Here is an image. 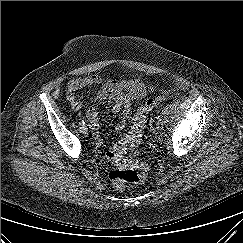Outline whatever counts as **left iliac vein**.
Here are the masks:
<instances>
[{
  "label": "left iliac vein",
  "mask_w": 243,
  "mask_h": 243,
  "mask_svg": "<svg viewBox=\"0 0 243 243\" xmlns=\"http://www.w3.org/2000/svg\"><path fill=\"white\" fill-rule=\"evenodd\" d=\"M162 127H163L162 122H161V121H158V122L156 123V129H157V130H161Z\"/></svg>",
  "instance_id": "obj_1"
}]
</instances>
